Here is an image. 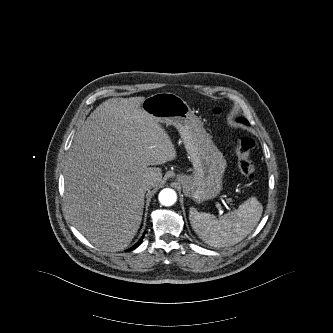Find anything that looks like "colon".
<instances>
[{
  "label": "colon",
  "instance_id": "obj_1",
  "mask_svg": "<svg viewBox=\"0 0 333 333\" xmlns=\"http://www.w3.org/2000/svg\"><path fill=\"white\" fill-rule=\"evenodd\" d=\"M214 115L219 116L221 110L215 108L213 110ZM254 147V141L247 136L241 137L235 143V149L238 155V167L240 172L249 180L254 178L255 165L251 159L250 152Z\"/></svg>",
  "mask_w": 333,
  "mask_h": 333
}]
</instances>
